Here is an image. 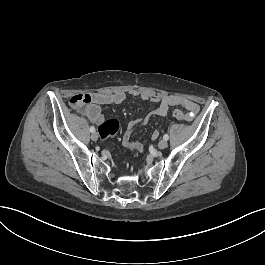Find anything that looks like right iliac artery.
<instances>
[{
    "instance_id": "82829eb1",
    "label": "right iliac artery",
    "mask_w": 265,
    "mask_h": 265,
    "mask_svg": "<svg viewBox=\"0 0 265 265\" xmlns=\"http://www.w3.org/2000/svg\"><path fill=\"white\" fill-rule=\"evenodd\" d=\"M90 132H95V128L93 126L90 127Z\"/></svg>"
}]
</instances>
